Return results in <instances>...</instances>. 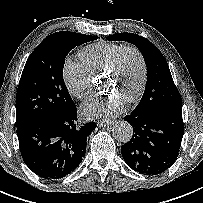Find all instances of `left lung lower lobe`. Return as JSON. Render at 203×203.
I'll use <instances>...</instances> for the list:
<instances>
[{
    "instance_id": "left-lung-lower-lobe-1",
    "label": "left lung lower lobe",
    "mask_w": 203,
    "mask_h": 203,
    "mask_svg": "<svg viewBox=\"0 0 203 203\" xmlns=\"http://www.w3.org/2000/svg\"><path fill=\"white\" fill-rule=\"evenodd\" d=\"M124 120L134 130L130 141L121 147L130 168L144 175H158L173 165L184 134L182 110L155 114L133 111Z\"/></svg>"
}]
</instances>
